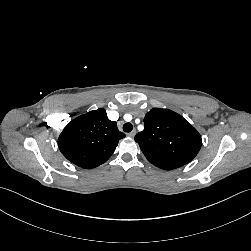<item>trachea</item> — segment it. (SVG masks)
<instances>
[{"label": "trachea", "instance_id": "3493384b", "mask_svg": "<svg viewBox=\"0 0 251 251\" xmlns=\"http://www.w3.org/2000/svg\"><path fill=\"white\" fill-rule=\"evenodd\" d=\"M133 129V125L131 123H125L123 125V131L124 132H131Z\"/></svg>", "mask_w": 251, "mask_h": 251}]
</instances>
